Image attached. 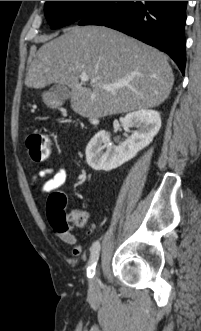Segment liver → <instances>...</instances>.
Segmentation results:
<instances>
[{
	"mask_svg": "<svg viewBox=\"0 0 201 331\" xmlns=\"http://www.w3.org/2000/svg\"><path fill=\"white\" fill-rule=\"evenodd\" d=\"M81 74L89 80L80 81ZM122 81L128 84L100 87ZM52 83L71 90L75 113L102 118L159 106L171 92L174 75L167 56L155 48L110 28L83 26L45 43L31 62L25 85L38 89Z\"/></svg>",
	"mask_w": 201,
	"mask_h": 331,
	"instance_id": "1",
	"label": "liver"
}]
</instances>
